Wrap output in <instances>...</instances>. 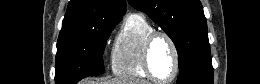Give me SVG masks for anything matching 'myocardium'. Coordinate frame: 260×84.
Here are the masks:
<instances>
[{
  "mask_svg": "<svg viewBox=\"0 0 260 84\" xmlns=\"http://www.w3.org/2000/svg\"><path fill=\"white\" fill-rule=\"evenodd\" d=\"M158 37H163L169 42V44L172 48V51H173V55H174V71H173L172 76L167 80H161V79L157 78L151 68V63H150L151 48H152L153 42ZM142 64H143V68H144L146 74L154 82L160 83V84L172 83L177 78L179 71H180V54H179L178 47H177L174 39L171 37V35H169L167 32L162 31V30H152L145 37L144 42H143Z\"/></svg>",
  "mask_w": 260,
  "mask_h": 84,
  "instance_id": "myocardium-1",
  "label": "myocardium"
}]
</instances>
